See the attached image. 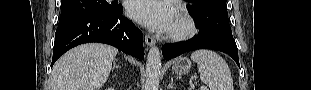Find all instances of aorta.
I'll return each instance as SVG.
<instances>
[{"label":"aorta","mask_w":311,"mask_h":90,"mask_svg":"<svg viewBox=\"0 0 311 90\" xmlns=\"http://www.w3.org/2000/svg\"><path fill=\"white\" fill-rule=\"evenodd\" d=\"M161 69L160 50L157 47H152L147 55L145 68V90L159 89V76Z\"/></svg>","instance_id":"1"}]
</instances>
